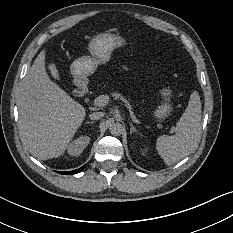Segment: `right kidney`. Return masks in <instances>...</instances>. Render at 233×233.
I'll return each instance as SVG.
<instances>
[{"label":"right kidney","instance_id":"obj_1","mask_svg":"<svg viewBox=\"0 0 233 233\" xmlns=\"http://www.w3.org/2000/svg\"><path fill=\"white\" fill-rule=\"evenodd\" d=\"M91 137L89 135H80L70 141L66 146V153L71 157L79 156L85 148L89 146Z\"/></svg>","mask_w":233,"mask_h":233}]
</instances>
